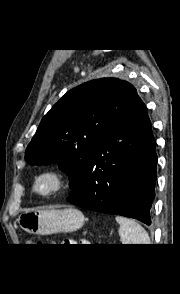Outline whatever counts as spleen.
I'll list each match as a JSON object with an SVG mask.
<instances>
[{
    "label": "spleen",
    "mask_w": 180,
    "mask_h": 294,
    "mask_svg": "<svg viewBox=\"0 0 180 294\" xmlns=\"http://www.w3.org/2000/svg\"><path fill=\"white\" fill-rule=\"evenodd\" d=\"M120 225L119 237L122 244H150V238L146 230L136 221L122 216H116Z\"/></svg>",
    "instance_id": "1"
}]
</instances>
